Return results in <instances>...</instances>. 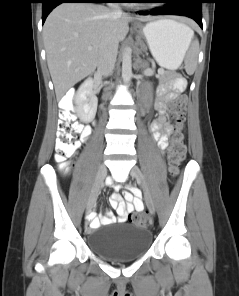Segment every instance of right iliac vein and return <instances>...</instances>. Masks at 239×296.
I'll return each instance as SVG.
<instances>
[{
    "mask_svg": "<svg viewBox=\"0 0 239 296\" xmlns=\"http://www.w3.org/2000/svg\"><path fill=\"white\" fill-rule=\"evenodd\" d=\"M106 175H107V168L104 164H101L98 169L95 184H94L93 189L91 191L88 208H91L94 205V203L97 199V196L99 194V191L103 186Z\"/></svg>",
    "mask_w": 239,
    "mask_h": 296,
    "instance_id": "63e3f726",
    "label": "right iliac vein"
}]
</instances>
